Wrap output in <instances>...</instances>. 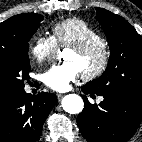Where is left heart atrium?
Segmentation results:
<instances>
[{
	"label": "left heart atrium",
	"mask_w": 142,
	"mask_h": 142,
	"mask_svg": "<svg viewBox=\"0 0 142 142\" xmlns=\"http://www.w3.org/2000/svg\"><path fill=\"white\" fill-rule=\"evenodd\" d=\"M78 67L72 62H64L50 67L43 74V82L52 90L67 91L80 76Z\"/></svg>",
	"instance_id": "obj_1"
}]
</instances>
